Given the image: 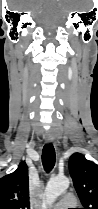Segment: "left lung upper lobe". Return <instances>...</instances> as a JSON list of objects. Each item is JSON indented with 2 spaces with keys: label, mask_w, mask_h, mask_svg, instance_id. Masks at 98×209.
<instances>
[{
  "label": "left lung upper lobe",
  "mask_w": 98,
  "mask_h": 209,
  "mask_svg": "<svg viewBox=\"0 0 98 209\" xmlns=\"http://www.w3.org/2000/svg\"><path fill=\"white\" fill-rule=\"evenodd\" d=\"M69 171L83 209H98V165L75 153L69 159Z\"/></svg>",
  "instance_id": "5c2ea615"
}]
</instances>
